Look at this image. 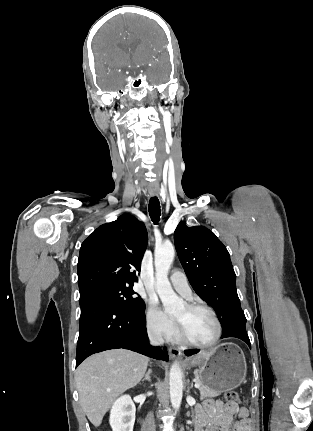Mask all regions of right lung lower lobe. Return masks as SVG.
Wrapping results in <instances>:
<instances>
[{"instance_id": "98d812e1", "label": "right lung lower lobe", "mask_w": 313, "mask_h": 431, "mask_svg": "<svg viewBox=\"0 0 313 431\" xmlns=\"http://www.w3.org/2000/svg\"><path fill=\"white\" fill-rule=\"evenodd\" d=\"M125 348L158 360L168 361L166 348L149 344L145 309L130 311L102 300L81 306L76 367L88 356L104 350Z\"/></svg>"}]
</instances>
